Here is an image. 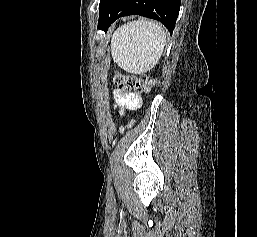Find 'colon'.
Here are the masks:
<instances>
[{"label":"colon","instance_id":"colon-1","mask_svg":"<svg viewBox=\"0 0 257 237\" xmlns=\"http://www.w3.org/2000/svg\"><path fill=\"white\" fill-rule=\"evenodd\" d=\"M114 82L118 88L125 92H148L155 81L147 75L116 74Z\"/></svg>","mask_w":257,"mask_h":237}]
</instances>
